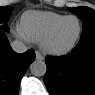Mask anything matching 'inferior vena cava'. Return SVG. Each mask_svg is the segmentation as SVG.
I'll return each mask as SVG.
<instances>
[{
    "instance_id": "1",
    "label": "inferior vena cava",
    "mask_w": 95,
    "mask_h": 95,
    "mask_svg": "<svg viewBox=\"0 0 95 95\" xmlns=\"http://www.w3.org/2000/svg\"><path fill=\"white\" fill-rule=\"evenodd\" d=\"M10 45L14 52L23 53L27 51L26 45L20 40H14Z\"/></svg>"
}]
</instances>
